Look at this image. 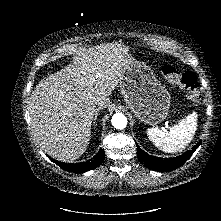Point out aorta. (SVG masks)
Wrapping results in <instances>:
<instances>
[{
    "label": "aorta",
    "mask_w": 221,
    "mask_h": 221,
    "mask_svg": "<svg viewBox=\"0 0 221 221\" xmlns=\"http://www.w3.org/2000/svg\"><path fill=\"white\" fill-rule=\"evenodd\" d=\"M112 125L116 129H124L127 126V118L122 113H116L112 116L111 119Z\"/></svg>",
    "instance_id": "1"
}]
</instances>
